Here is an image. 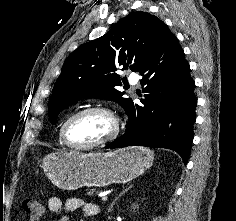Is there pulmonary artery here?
Returning <instances> with one entry per match:
<instances>
[{
  "mask_svg": "<svg viewBox=\"0 0 236 221\" xmlns=\"http://www.w3.org/2000/svg\"><path fill=\"white\" fill-rule=\"evenodd\" d=\"M129 82H130L132 85L138 84V82H139V76L136 75V74L130 75V76H129Z\"/></svg>",
  "mask_w": 236,
  "mask_h": 221,
  "instance_id": "e3ab8cb5",
  "label": "pulmonary artery"
}]
</instances>
